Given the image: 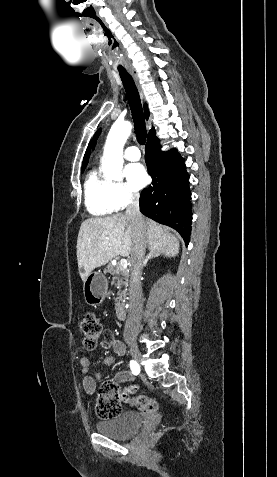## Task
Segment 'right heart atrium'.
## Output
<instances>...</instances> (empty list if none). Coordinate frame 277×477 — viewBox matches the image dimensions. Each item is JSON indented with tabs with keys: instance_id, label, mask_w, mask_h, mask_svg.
Segmentation results:
<instances>
[{
	"instance_id": "1",
	"label": "right heart atrium",
	"mask_w": 277,
	"mask_h": 477,
	"mask_svg": "<svg viewBox=\"0 0 277 477\" xmlns=\"http://www.w3.org/2000/svg\"><path fill=\"white\" fill-rule=\"evenodd\" d=\"M139 199L138 191L124 182H111V200L115 210H121Z\"/></svg>"
}]
</instances>
